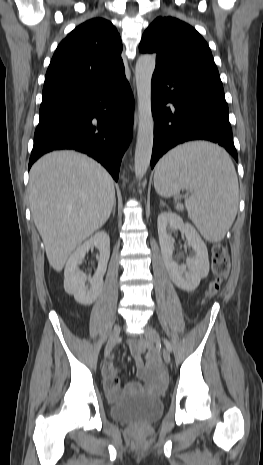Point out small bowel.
Here are the masks:
<instances>
[{
    "mask_svg": "<svg viewBox=\"0 0 263 465\" xmlns=\"http://www.w3.org/2000/svg\"><path fill=\"white\" fill-rule=\"evenodd\" d=\"M132 357L136 363L138 377L143 384L130 383L127 386L129 390L145 389L152 392H160L165 389L167 384V375L153 358L148 359L145 364L142 355L148 349V344L143 340H131L129 343ZM119 368L113 363L108 362L103 368L104 386L112 399H117L121 395L120 383L118 379Z\"/></svg>",
    "mask_w": 263,
    "mask_h": 465,
    "instance_id": "obj_1",
    "label": "small bowel"
}]
</instances>
